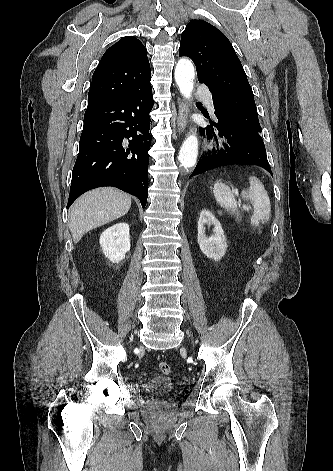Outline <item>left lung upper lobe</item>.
Masks as SVG:
<instances>
[{
  "label": "left lung upper lobe",
  "instance_id": "1",
  "mask_svg": "<svg viewBox=\"0 0 333 471\" xmlns=\"http://www.w3.org/2000/svg\"><path fill=\"white\" fill-rule=\"evenodd\" d=\"M179 56L195 63L199 82L212 93L215 113L262 139L252 88L227 37L206 21L191 20L182 32Z\"/></svg>",
  "mask_w": 333,
  "mask_h": 471
}]
</instances>
